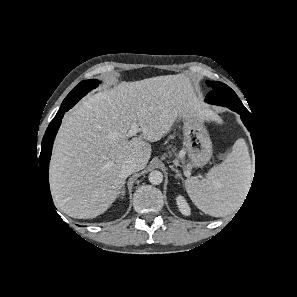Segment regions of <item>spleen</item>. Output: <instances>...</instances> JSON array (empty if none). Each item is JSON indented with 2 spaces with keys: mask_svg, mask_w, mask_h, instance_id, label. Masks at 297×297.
<instances>
[{
  "mask_svg": "<svg viewBox=\"0 0 297 297\" xmlns=\"http://www.w3.org/2000/svg\"><path fill=\"white\" fill-rule=\"evenodd\" d=\"M252 179L251 160L244 139H238L231 153L213 167L203 180L185 181L193 203L205 214L222 217L236 211L246 196Z\"/></svg>",
  "mask_w": 297,
  "mask_h": 297,
  "instance_id": "obj_1",
  "label": "spleen"
}]
</instances>
